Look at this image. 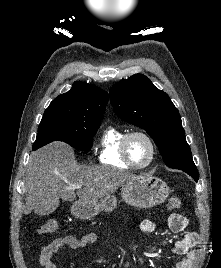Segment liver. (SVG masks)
<instances>
[{"mask_svg": "<svg viewBox=\"0 0 221 268\" xmlns=\"http://www.w3.org/2000/svg\"><path fill=\"white\" fill-rule=\"evenodd\" d=\"M134 175L107 166L81 167L71 147L62 142L50 143L30 155L25 175V208L47 215L52 205L74 201H98L115 192ZM81 184L77 193L73 185Z\"/></svg>", "mask_w": 221, "mask_h": 268, "instance_id": "6515ba94", "label": "liver"}]
</instances>
